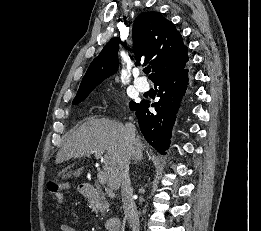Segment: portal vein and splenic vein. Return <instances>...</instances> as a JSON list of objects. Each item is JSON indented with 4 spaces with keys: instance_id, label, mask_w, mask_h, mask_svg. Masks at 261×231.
Wrapping results in <instances>:
<instances>
[{
    "instance_id": "obj_1",
    "label": "portal vein and splenic vein",
    "mask_w": 261,
    "mask_h": 231,
    "mask_svg": "<svg viewBox=\"0 0 261 231\" xmlns=\"http://www.w3.org/2000/svg\"><path fill=\"white\" fill-rule=\"evenodd\" d=\"M92 153H94V155L97 159L102 158V154H103L102 151H95V152H92ZM97 178H98V181H99L100 184H102V185L106 184L107 178H106V175L103 171L98 172Z\"/></svg>"
}]
</instances>
